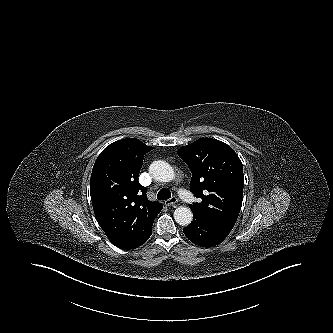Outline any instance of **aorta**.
Wrapping results in <instances>:
<instances>
[{
    "mask_svg": "<svg viewBox=\"0 0 333 333\" xmlns=\"http://www.w3.org/2000/svg\"><path fill=\"white\" fill-rule=\"evenodd\" d=\"M149 172L154 179L161 182L172 181L175 177V172L171 165L162 160L152 162ZM174 219L180 225H189L193 219L192 211L188 207L180 206L174 211Z\"/></svg>",
    "mask_w": 333,
    "mask_h": 333,
    "instance_id": "aorta-1",
    "label": "aorta"
}]
</instances>
